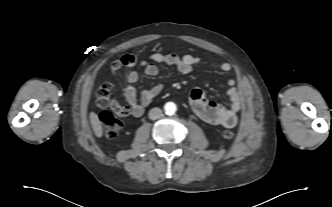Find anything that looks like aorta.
<instances>
[{
  "instance_id": "1",
  "label": "aorta",
  "mask_w": 332,
  "mask_h": 207,
  "mask_svg": "<svg viewBox=\"0 0 332 207\" xmlns=\"http://www.w3.org/2000/svg\"><path fill=\"white\" fill-rule=\"evenodd\" d=\"M177 110V107L175 105V103L173 102H167L164 105V111L167 115H173Z\"/></svg>"
}]
</instances>
